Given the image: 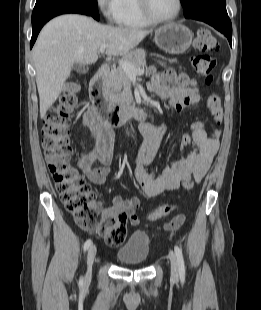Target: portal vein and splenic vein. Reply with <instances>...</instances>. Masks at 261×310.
<instances>
[{
	"label": "portal vein and splenic vein",
	"mask_w": 261,
	"mask_h": 310,
	"mask_svg": "<svg viewBox=\"0 0 261 310\" xmlns=\"http://www.w3.org/2000/svg\"><path fill=\"white\" fill-rule=\"evenodd\" d=\"M107 44H102L99 48V51L103 53L105 49L107 48ZM119 65L121 68L127 73L129 77H136L137 75H143L144 74V69L142 68H135L132 66L130 63L127 61L120 60Z\"/></svg>",
	"instance_id": "1"
}]
</instances>
